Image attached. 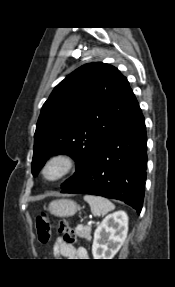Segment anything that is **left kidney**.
I'll return each instance as SVG.
<instances>
[{
	"mask_svg": "<svg viewBox=\"0 0 175 287\" xmlns=\"http://www.w3.org/2000/svg\"><path fill=\"white\" fill-rule=\"evenodd\" d=\"M128 232V216L117 211L106 216L96 228L92 245L94 259H113Z\"/></svg>",
	"mask_w": 175,
	"mask_h": 287,
	"instance_id": "1",
	"label": "left kidney"
}]
</instances>
